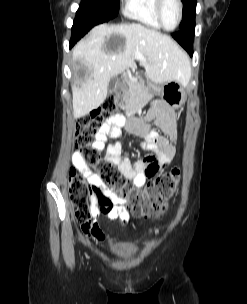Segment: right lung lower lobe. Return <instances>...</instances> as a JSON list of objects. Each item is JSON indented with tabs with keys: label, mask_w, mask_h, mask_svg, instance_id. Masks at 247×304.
<instances>
[{
	"label": "right lung lower lobe",
	"mask_w": 247,
	"mask_h": 304,
	"mask_svg": "<svg viewBox=\"0 0 247 304\" xmlns=\"http://www.w3.org/2000/svg\"><path fill=\"white\" fill-rule=\"evenodd\" d=\"M109 20L110 19L76 16L72 27L70 47H72L81 37H83L93 26Z\"/></svg>",
	"instance_id": "1"
}]
</instances>
